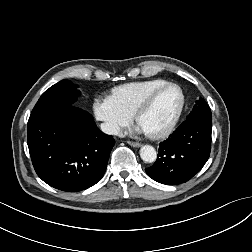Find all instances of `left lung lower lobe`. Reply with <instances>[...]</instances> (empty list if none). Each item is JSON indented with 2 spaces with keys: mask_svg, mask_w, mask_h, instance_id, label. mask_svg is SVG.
<instances>
[{
  "mask_svg": "<svg viewBox=\"0 0 252 252\" xmlns=\"http://www.w3.org/2000/svg\"><path fill=\"white\" fill-rule=\"evenodd\" d=\"M212 118L195 117L184 121L159 144L156 162L146 173L155 181L176 185L196 175L209 158Z\"/></svg>",
  "mask_w": 252,
  "mask_h": 252,
  "instance_id": "obj_1",
  "label": "left lung lower lobe"
}]
</instances>
